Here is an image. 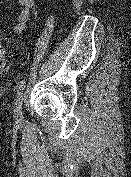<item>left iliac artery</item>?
I'll return each instance as SVG.
<instances>
[{
  "mask_svg": "<svg viewBox=\"0 0 131 177\" xmlns=\"http://www.w3.org/2000/svg\"><path fill=\"white\" fill-rule=\"evenodd\" d=\"M25 84H26V80L23 79V80H20L16 86V90H17V97L19 98L22 94V91L24 90L25 88Z\"/></svg>",
  "mask_w": 131,
  "mask_h": 177,
  "instance_id": "left-iliac-artery-1",
  "label": "left iliac artery"
}]
</instances>
